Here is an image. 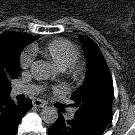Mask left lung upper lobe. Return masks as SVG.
Returning a JSON list of instances; mask_svg holds the SVG:
<instances>
[{
    "label": "left lung upper lobe",
    "mask_w": 135,
    "mask_h": 135,
    "mask_svg": "<svg viewBox=\"0 0 135 135\" xmlns=\"http://www.w3.org/2000/svg\"><path fill=\"white\" fill-rule=\"evenodd\" d=\"M87 58V75L82 87L75 91L71 99L77 115L100 118L108 123L112 116L114 96L113 82L105 59L96 43L87 36L80 35Z\"/></svg>",
    "instance_id": "left-lung-upper-lobe-1"
}]
</instances>
